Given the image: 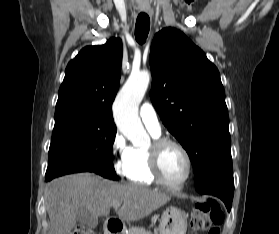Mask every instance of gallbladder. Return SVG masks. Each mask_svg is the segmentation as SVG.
<instances>
[{"label": "gallbladder", "mask_w": 279, "mask_h": 234, "mask_svg": "<svg viewBox=\"0 0 279 234\" xmlns=\"http://www.w3.org/2000/svg\"><path fill=\"white\" fill-rule=\"evenodd\" d=\"M77 220L90 228L96 227L98 223V218L87 209L79 210Z\"/></svg>", "instance_id": "obj_1"}]
</instances>
